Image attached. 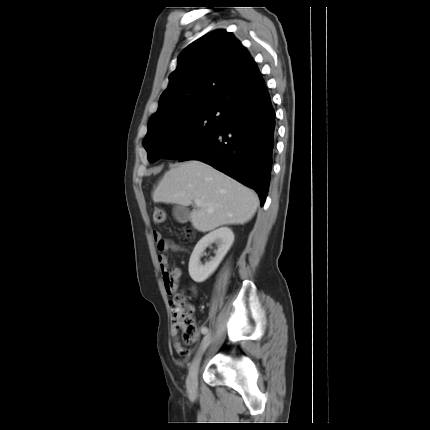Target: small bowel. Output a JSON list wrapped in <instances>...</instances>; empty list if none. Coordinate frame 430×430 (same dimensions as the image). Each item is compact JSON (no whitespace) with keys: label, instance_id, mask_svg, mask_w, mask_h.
I'll use <instances>...</instances> for the list:
<instances>
[{"label":"small bowel","instance_id":"small-bowel-1","mask_svg":"<svg viewBox=\"0 0 430 430\" xmlns=\"http://www.w3.org/2000/svg\"><path fill=\"white\" fill-rule=\"evenodd\" d=\"M153 238L157 243L159 250H168L170 248L171 246L170 241L163 239L160 233H157V232L154 233ZM158 263L160 266V270L163 274L162 281L165 283L164 284L165 292L167 294H173L182 276V271L179 267H174L171 269L170 273H168L166 269L167 259L163 255L158 256ZM191 292L195 294L196 289L192 287ZM207 330L208 328L205 325L200 327V332L202 334H206ZM178 333H179V330L176 328L175 325H173L170 332L171 338H172V346L178 354L187 356L189 355V351L184 349L181 343L178 341Z\"/></svg>","mask_w":430,"mask_h":430}]
</instances>
